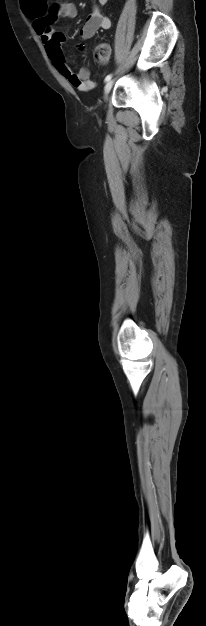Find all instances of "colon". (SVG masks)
Here are the masks:
<instances>
[{
	"label": "colon",
	"mask_w": 206,
	"mask_h": 626,
	"mask_svg": "<svg viewBox=\"0 0 206 626\" xmlns=\"http://www.w3.org/2000/svg\"><path fill=\"white\" fill-rule=\"evenodd\" d=\"M110 57V47L106 43L99 44L95 49V58L98 62L104 63Z\"/></svg>",
	"instance_id": "obj_1"
}]
</instances>
